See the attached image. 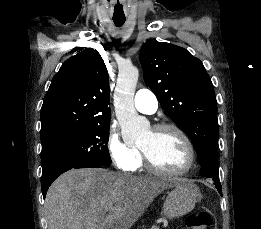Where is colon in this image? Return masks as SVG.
I'll use <instances>...</instances> for the list:
<instances>
[{"label":"colon","mask_w":261,"mask_h":229,"mask_svg":"<svg viewBox=\"0 0 261 229\" xmlns=\"http://www.w3.org/2000/svg\"><path fill=\"white\" fill-rule=\"evenodd\" d=\"M211 215L206 211H196L188 214L187 229H211Z\"/></svg>","instance_id":"obj_1"}]
</instances>
